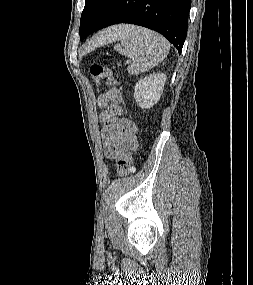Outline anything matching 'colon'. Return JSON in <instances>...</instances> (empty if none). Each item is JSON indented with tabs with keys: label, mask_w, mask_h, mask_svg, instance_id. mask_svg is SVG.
I'll list each match as a JSON object with an SVG mask.
<instances>
[{
	"label": "colon",
	"mask_w": 253,
	"mask_h": 285,
	"mask_svg": "<svg viewBox=\"0 0 253 285\" xmlns=\"http://www.w3.org/2000/svg\"><path fill=\"white\" fill-rule=\"evenodd\" d=\"M90 74L98 85L102 80H110L113 77L112 71L102 65L93 64L90 67ZM134 172L133 156L130 151H125L118 159V174L120 177H125Z\"/></svg>",
	"instance_id": "1"
}]
</instances>
